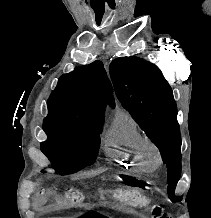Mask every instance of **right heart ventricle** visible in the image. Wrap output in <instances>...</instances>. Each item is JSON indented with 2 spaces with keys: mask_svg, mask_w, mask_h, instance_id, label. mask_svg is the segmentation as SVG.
Returning <instances> with one entry per match:
<instances>
[{
  "mask_svg": "<svg viewBox=\"0 0 211 218\" xmlns=\"http://www.w3.org/2000/svg\"><path fill=\"white\" fill-rule=\"evenodd\" d=\"M108 157H116L112 165L121 169H147L148 161L139 160L146 140L134 116L128 110H118L105 133ZM118 143V144H113Z\"/></svg>",
  "mask_w": 211,
  "mask_h": 218,
  "instance_id": "1",
  "label": "right heart ventricle"
}]
</instances>
